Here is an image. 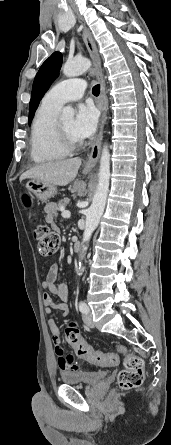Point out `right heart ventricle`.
Wrapping results in <instances>:
<instances>
[{"mask_svg":"<svg viewBox=\"0 0 171 445\" xmlns=\"http://www.w3.org/2000/svg\"><path fill=\"white\" fill-rule=\"evenodd\" d=\"M59 107L42 102L31 125L30 155L34 162L42 163L62 158L67 154L54 134V122Z\"/></svg>","mask_w":171,"mask_h":445,"instance_id":"1","label":"right heart ventricle"}]
</instances>
